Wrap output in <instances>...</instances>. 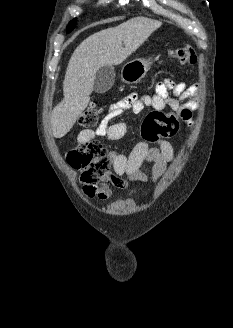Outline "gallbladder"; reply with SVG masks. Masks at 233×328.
<instances>
[{"mask_svg":"<svg viewBox=\"0 0 233 328\" xmlns=\"http://www.w3.org/2000/svg\"><path fill=\"white\" fill-rule=\"evenodd\" d=\"M115 70L113 66L101 67L94 78L93 90L96 93H105L115 82Z\"/></svg>","mask_w":233,"mask_h":328,"instance_id":"bac80fb5","label":"gallbladder"}]
</instances>
